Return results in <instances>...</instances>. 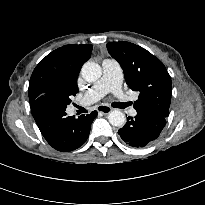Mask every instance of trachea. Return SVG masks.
I'll return each mask as SVG.
<instances>
[{
    "label": "trachea",
    "instance_id": "3493384b",
    "mask_svg": "<svg viewBox=\"0 0 205 205\" xmlns=\"http://www.w3.org/2000/svg\"><path fill=\"white\" fill-rule=\"evenodd\" d=\"M125 105L124 104H120V108H123Z\"/></svg>",
    "mask_w": 205,
    "mask_h": 205
}]
</instances>
